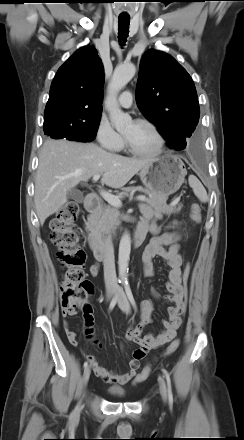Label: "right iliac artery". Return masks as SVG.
I'll return each mask as SVG.
<instances>
[{"label":"right iliac artery","mask_w":244,"mask_h":440,"mask_svg":"<svg viewBox=\"0 0 244 440\" xmlns=\"http://www.w3.org/2000/svg\"><path fill=\"white\" fill-rule=\"evenodd\" d=\"M117 299H118V295L116 294L109 305V310H112L115 307ZM87 366H88V362L86 361L84 362L83 367L86 368Z\"/></svg>","instance_id":"obj_1"}]
</instances>
